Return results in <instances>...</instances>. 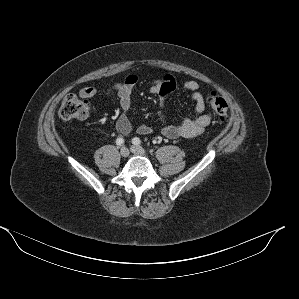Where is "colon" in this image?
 I'll return each instance as SVG.
<instances>
[{
	"label": "colon",
	"mask_w": 299,
	"mask_h": 299,
	"mask_svg": "<svg viewBox=\"0 0 299 299\" xmlns=\"http://www.w3.org/2000/svg\"><path fill=\"white\" fill-rule=\"evenodd\" d=\"M208 102L211 108L219 116L220 121L228 123L230 118L226 100L220 95L213 94L209 96ZM89 113V104L74 94H69L63 99L58 112L59 117L66 121L84 120L88 117Z\"/></svg>",
	"instance_id": "1"
}]
</instances>
